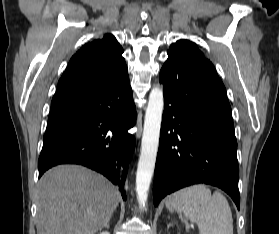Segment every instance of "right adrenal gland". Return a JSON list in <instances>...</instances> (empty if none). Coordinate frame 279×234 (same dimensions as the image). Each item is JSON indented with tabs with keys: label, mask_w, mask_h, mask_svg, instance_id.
<instances>
[{
	"label": "right adrenal gland",
	"mask_w": 279,
	"mask_h": 234,
	"mask_svg": "<svg viewBox=\"0 0 279 234\" xmlns=\"http://www.w3.org/2000/svg\"><path fill=\"white\" fill-rule=\"evenodd\" d=\"M109 221H110V219H109V220L105 223V225H104V226L107 227V228L109 227Z\"/></svg>",
	"instance_id": "1"
}]
</instances>
